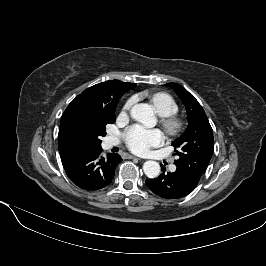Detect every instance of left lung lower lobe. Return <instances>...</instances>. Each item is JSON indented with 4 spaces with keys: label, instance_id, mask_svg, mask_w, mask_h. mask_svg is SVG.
I'll return each mask as SVG.
<instances>
[{
    "label": "left lung lower lobe",
    "instance_id": "1",
    "mask_svg": "<svg viewBox=\"0 0 266 266\" xmlns=\"http://www.w3.org/2000/svg\"><path fill=\"white\" fill-rule=\"evenodd\" d=\"M162 166V165H161ZM163 173L155 179H147V187L156 195L164 199H179L190 194L197 183L191 181L182 171L176 169L175 172Z\"/></svg>",
    "mask_w": 266,
    "mask_h": 266
}]
</instances>
